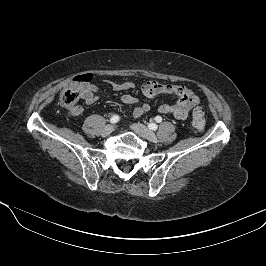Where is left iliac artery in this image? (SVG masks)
I'll use <instances>...</instances> for the list:
<instances>
[{
	"label": "left iliac artery",
	"instance_id": "left-iliac-artery-1",
	"mask_svg": "<svg viewBox=\"0 0 266 266\" xmlns=\"http://www.w3.org/2000/svg\"><path fill=\"white\" fill-rule=\"evenodd\" d=\"M155 120H156L157 122H161V121H162V118H161L160 116H156ZM148 127H149L151 130H157V128H158L157 124H155V123H150V124L148 125Z\"/></svg>",
	"mask_w": 266,
	"mask_h": 266
}]
</instances>
